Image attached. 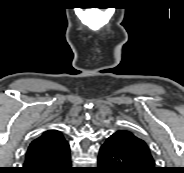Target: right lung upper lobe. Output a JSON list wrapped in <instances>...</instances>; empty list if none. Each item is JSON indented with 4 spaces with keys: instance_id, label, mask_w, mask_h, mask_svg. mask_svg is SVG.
<instances>
[{
    "instance_id": "right-lung-upper-lobe-1",
    "label": "right lung upper lobe",
    "mask_w": 184,
    "mask_h": 173,
    "mask_svg": "<svg viewBox=\"0 0 184 173\" xmlns=\"http://www.w3.org/2000/svg\"><path fill=\"white\" fill-rule=\"evenodd\" d=\"M63 134L58 130H47L30 144L26 160L52 156L67 148Z\"/></svg>"
}]
</instances>
